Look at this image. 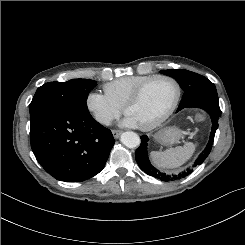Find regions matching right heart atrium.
<instances>
[{"label":"right heart atrium","mask_w":245,"mask_h":245,"mask_svg":"<svg viewBox=\"0 0 245 245\" xmlns=\"http://www.w3.org/2000/svg\"><path fill=\"white\" fill-rule=\"evenodd\" d=\"M85 107L93 119L102 126L111 125L122 112L121 106L99 91H90L86 95Z\"/></svg>","instance_id":"right-heart-atrium-1"}]
</instances>
